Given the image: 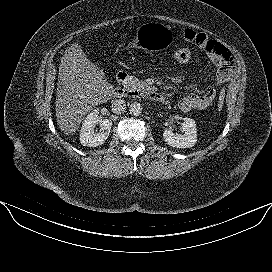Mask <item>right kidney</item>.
I'll return each mask as SVG.
<instances>
[{
    "label": "right kidney",
    "mask_w": 272,
    "mask_h": 272,
    "mask_svg": "<svg viewBox=\"0 0 272 272\" xmlns=\"http://www.w3.org/2000/svg\"><path fill=\"white\" fill-rule=\"evenodd\" d=\"M98 114V109H94L83 122L80 132V142L83 146L96 147L102 145L109 136L112 121L109 119L99 120ZM97 124L100 126L99 132L94 131Z\"/></svg>",
    "instance_id": "obj_1"
}]
</instances>
